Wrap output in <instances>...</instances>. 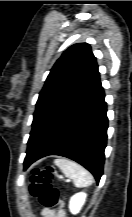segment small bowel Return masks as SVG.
<instances>
[{
	"label": "small bowel",
	"mask_w": 132,
	"mask_h": 217,
	"mask_svg": "<svg viewBox=\"0 0 132 217\" xmlns=\"http://www.w3.org/2000/svg\"><path fill=\"white\" fill-rule=\"evenodd\" d=\"M43 217H65L63 210L55 211L54 209L46 208L42 211Z\"/></svg>",
	"instance_id": "c3829d8e"
}]
</instances>
